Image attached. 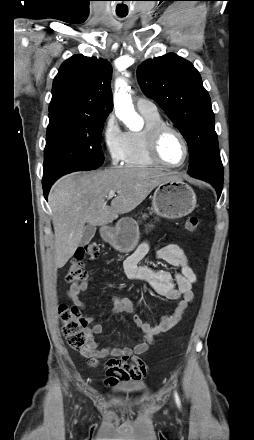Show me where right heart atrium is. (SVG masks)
Segmentation results:
<instances>
[{"instance_id":"d8ad5b80","label":"right heart atrium","mask_w":254,"mask_h":440,"mask_svg":"<svg viewBox=\"0 0 254 440\" xmlns=\"http://www.w3.org/2000/svg\"><path fill=\"white\" fill-rule=\"evenodd\" d=\"M128 132L125 131L114 114H109L103 125V140L113 164L123 162L127 147Z\"/></svg>"}]
</instances>
